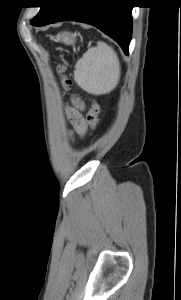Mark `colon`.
Wrapping results in <instances>:
<instances>
[{
	"mask_svg": "<svg viewBox=\"0 0 181 300\" xmlns=\"http://www.w3.org/2000/svg\"><path fill=\"white\" fill-rule=\"evenodd\" d=\"M57 71L61 77V84L64 88H69L71 86V80L65 75V67L59 65ZM100 105L97 101H92L90 110L86 115V122L88 127L92 132H94L99 123Z\"/></svg>",
	"mask_w": 181,
	"mask_h": 300,
	"instance_id": "5ec220e1",
	"label": "colon"
}]
</instances>
